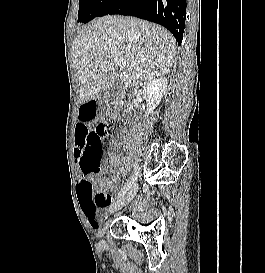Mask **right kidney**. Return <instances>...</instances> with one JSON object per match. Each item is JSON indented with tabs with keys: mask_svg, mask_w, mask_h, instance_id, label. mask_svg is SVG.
I'll use <instances>...</instances> for the list:
<instances>
[{
	"mask_svg": "<svg viewBox=\"0 0 265 273\" xmlns=\"http://www.w3.org/2000/svg\"><path fill=\"white\" fill-rule=\"evenodd\" d=\"M168 87V80L165 77H158L146 83L143 87V96L147 102L145 116L153 112L161 102L163 95Z\"/></svg>",
	"mask_w": 265,
	"mask_h": 273,
	"instance_id": "right-kidney-1",
	"label": "right kidney"
}]
</instances>
